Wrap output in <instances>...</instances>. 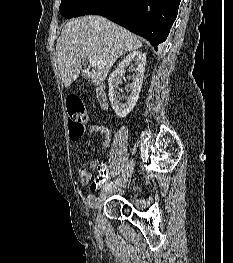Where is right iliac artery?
<instances>
[{
    "label": "right iliac artery",
    "mask_w": 233,
    "mask_h": 263,
    "mask_svg": "<svg viewBox=\"0 0 233 263\" xmlns=\"http://www.w3.org/2000/svg\"><path fill=\"white\" fill-rule=\"evenodd\" d=\"M112 185H113V182H110V183L106 184V185L103 187L102 192L107 191L108 189H110V188L112 187Z\"/></svg>",
    "instance_id": "right-iliac-artery-1"
}]
</instances>
